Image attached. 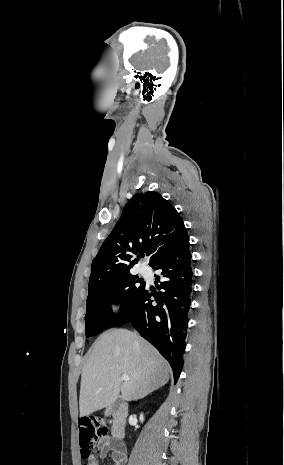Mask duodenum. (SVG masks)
I'll return each instance as SVG.
<instances>
[{
    "instance_id": "1",
    "label": "duodenum",
    "mask_w": 284,
    "mask_h": 465,
    "mask_svg": "<svg viewBox=\"0 0 284 465\" xmlns=\"http://www.w3.org/2000/svg\"><path fill=\"white\" fill-rule=\"evenodd\" d=\"M109 412L112 417L111 436L114 440H120L124 435L128 409L120 403L113 406Z\"/></svg>"
}]
</instances>
